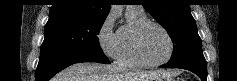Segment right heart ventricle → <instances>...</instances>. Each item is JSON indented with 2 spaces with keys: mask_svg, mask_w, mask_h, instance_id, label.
<instances>
[{
  "mask_svg": "<svg viewBox=\"0 0 237 81\" xmlns=\"http://www.w3.org/2000/svg\"><path fill=\"white\" fill-rule=\"evenodd\" d=\"M128 24L117 31L118 34V54L117 62L120 66L128 68H138L141 64L137 61L132 50V33L140 24L148 21V17L144 11L127 10L126 12Z\"/></svg>",
  "mask_w": 237,
  "mask_h": 81,
  "instance_id": "obj_1",
  "label": "right heart ventricle"
}]
</instances>
